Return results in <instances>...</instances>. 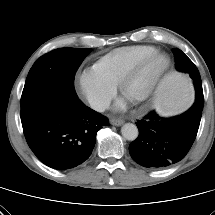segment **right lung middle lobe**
<instances>
[{
    "label": "right lung middle lobe",
    "mask_w": 215,
    "mask_h": 215,
    "mask_svg": "<svg viewBox=\"0 0 215 215\" xmlns=\"http://www.w3.org/2000/svg\"><path fill=\"white\" fill-rule=\"evenodd\" d=\"M90 48H59L41 56L30 69L21 96L22 126L49 103L74 94V76Z\"/></svg>",
    "instance_id": "obj_1"
}]
</instances>
